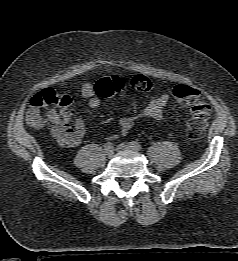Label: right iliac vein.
Segmentation results:
<instances>
[{"label": "right iliac vein", "instance_id": "obj_1", "mask_svg": "<svg viewBox=\"0 0 238 261\" xmlns=\"http://www.w3.org/2000/svg\"><path fill=\"white\" fill-rule=\"evenodd\" d=\"M105 154L109 158L112 157L114 155V149L113 148H110L109 150L105 149Z\"/></svg>", "mask_w": 238, "mask_h": 261}]
</instances>
